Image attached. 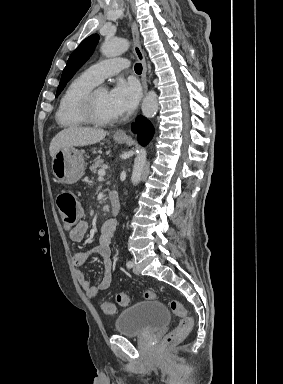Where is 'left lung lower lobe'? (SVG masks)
I'll use <instances>...</instances> for the list:
<instances>
[{"instance_id":"left-lung-lower-lobe-1","label":"left lung lower lobe","mask_w":283,"mask_h":384,"mask_svg":"<svg viewBox=\"0 0 283 384\" xmlns=\"http://www.w3.org/2000/svg\"><path fill=\"white\" fill-rule=\"evenodd\" d=\"M132 131L137 134V140L142 145H146L154 134L152 124L143 116L136 118V122L132 124Z\"/></svg>"}]
</instances>
